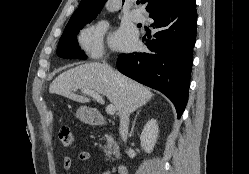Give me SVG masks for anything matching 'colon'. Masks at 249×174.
Returning <instances> with one entry per match:
<instances>
[{"label":"colon","mask_w":249,"mask_h":174,"mask_svg":"<svg viewBox=\"0 0 249 174\" xmlns=\"http://www.w3.org/2000/svg\"><path fill=\"white\" fill-rule=\"evenodd\" d=\"M58 140L63 148H72L75 143L74 136L68 126H61L59 128Z\"/></svg>","instance_id":"obj_1"}]
</instances>
